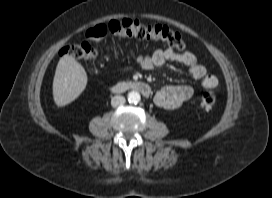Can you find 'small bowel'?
<instances>
[{
  "instance_id": "obj_1",
  "label": "small bowel",
  "mask_w": 272,
  "mask_h": 198,
  "mask_svg": "<svg viewBox=\"0 0 272 198\" xmlns=\"http://www.w3.org/2000/svg\"><path fill=\"white\" fill-rule=\"evenodd\" d=\"M136 65L144 70L161 67L167 62H177L184 65L189 74L204 89H213L218 85L216 76L209 74L206 68L198 62L197 57L191 52L178 53L172 48L156 50L152 54L137 53L130 50ZM194 90L189 85H174L161 88L154 97V102L165 110H175L193 96Z\"/></svg>"
}]
</instances>
